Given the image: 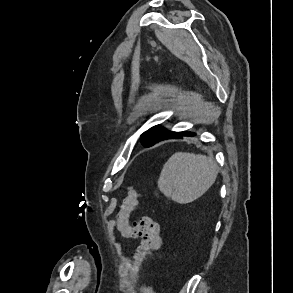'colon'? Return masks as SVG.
I'll list each match as a JSON object with an SVG mask.
<instances>
[{
	"label": "colon",
	"mask_w": 293,
	"mask_h": 293,
	"mask_svg": "<svg viewBox=\"0 0 293 293\" xmlns=\"http://www.w3.org/2000/svg\"><path fill=\"white\" fill-rule=\"evenodd\" d=\"M139 196L137 189L129 188L116 218L117 227L123 236L141 239L140 246L135 253L134 263L131 266L132 271H137L143 262L159 249L161 244L159 226L156 221L144 217L137 222H129L130 214L137 205Z\"/></svg>",
	"instance_id": "colon-1"
}]
</instances>
